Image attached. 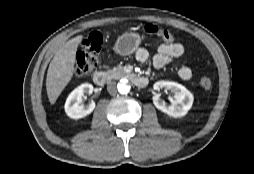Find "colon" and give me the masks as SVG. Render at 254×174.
Returning a JSON list of instances; mask_svg holds the SVG:
<instances>
[{
	"label": "colon",
	"mask_w": 254,
	"mask_h": 174,
	"mask_svg": "<svg viewBox=\"0 0 254 174\" xmlns=\"http://www.w3.org/2000/svg\"><path fill=\"white\" fill-rule=\"evenodd\" d=\"M143 29L147 34L157 36L166 43L175 41V36L171 31L154 24H145ZM102 43V35L96 31L82 40L75 57L76 77H85L98 66ZM200 84L205 90L212 88V81L208 77L201 78Z\"/></svg>",
	"instance_id": "colon-1"
}]
</instances>
